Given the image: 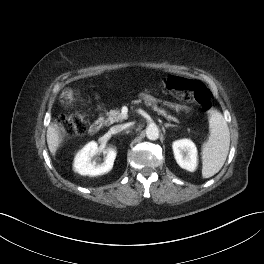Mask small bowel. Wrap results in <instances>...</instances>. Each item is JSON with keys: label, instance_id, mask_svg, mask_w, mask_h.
Returning <instances> with one entry per match:
<instances>
[{"label": "small bowel", "instance_id": "c3829d8e", "mask_svg": "<svg viewBox=\"0 0 264 264\" xmlns=\"http://www.w3.org/2000/svg\"><path fill=\"white\" fill-rule=\"evenodd\" d=\"M143 96L146 99H148V100H151V101L155 100V98L153 96L149 95V94L144 93ZM167 105L172 107V108H174V109H176V110H187V108L185 106H183V105H174V104H171V103H168Z\"/></svg>", "mask_w": 264, "mask_h": 264}]
</instances>
